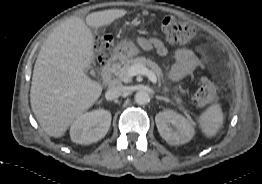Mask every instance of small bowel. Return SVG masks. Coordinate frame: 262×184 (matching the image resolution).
<instances>
[{"instance_id": "c3829d8e", "label": "small bowel", "mask_w": 262, "mask_h": 184, "mask_svg": "<svg viewBox=\"0 0 262 184\" xmlns=\"http://www.w3.org/2000/svg\"><path fill=\"white\" fill-rule=\"evenodd\" d=\"M137 43L144 49L154 50L159 56H166L168 49L155 37H140ZM175 63L170 67V75L174 79L191 77L201 67L197 56L189 49L181 48L174 53Z\"/></svg>"}]
</instances>
